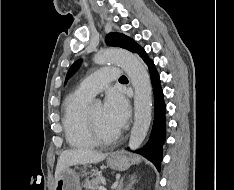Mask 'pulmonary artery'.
Instances as JSON below:
<instances>
[{"mask_svg":"<svg viewBox=\"0 0 234 190\" xmlns=\"http://www.w3.org/2000/svg\"><path fill=\"white\" fill-rule=\"evenodd\" d=\"M120 69L114 66H103L95 73L84 79L78 86L77 92L93 97L109 83L119 79Z\"/></svg>","mask_w":234,"mask_h":190,"instance_id":"e3ab8cb5","label":"pulmonary artery"}]
</instances>
